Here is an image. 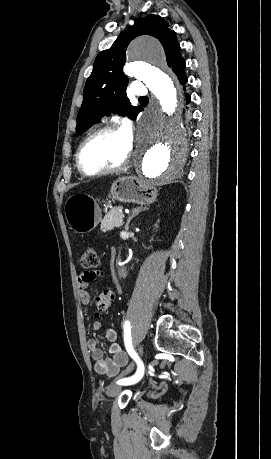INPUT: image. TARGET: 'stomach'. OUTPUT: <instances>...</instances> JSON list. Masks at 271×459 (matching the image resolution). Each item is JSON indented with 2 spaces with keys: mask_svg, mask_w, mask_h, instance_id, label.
I'll return each instance as SVG.
<instances>
[{
  "mask_svg": "<svg viewBox=\"0 0 271 459\" xmlns=\"http://www.w3.org/2000/svg\"><path fill=\"white\" fill-rule=\"evenodd\" d=\"M111 196L125 204H153L158 190L148 180L136 176H122L111 184ZM65 218L76 233H88L101 222V210L94 198L87 194H74L65 204Z\"/></svg>",
  "mask_w": 271,
  "mask_h": 459,
  "instance_id": "stomach-1",
  "label": "stomach"
}]
</instances>
